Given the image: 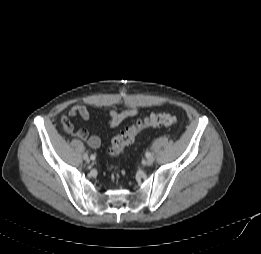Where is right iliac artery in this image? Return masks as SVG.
I'll return each mask as SVG.
<instances>
[{
  "instance_id": "82829eb1",
  "label": "right iliac artery",
  "mask_w": 261,
  "mask_h": 254,
  "mask_svg": "<svg viewBox=\"0 0 261 254\" xmlns=\"http://www.w3.org/2000/svg\"><path fill=\"white\" fill-rule=\"evenodd\" d=\"M90 158H91L92 160H94V159H95V156H94V155H91Z\"/></svg>"
}]
</instances>
